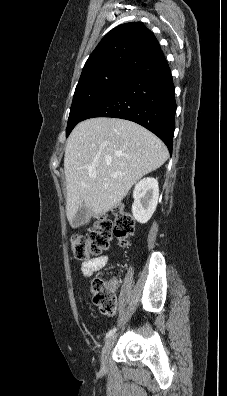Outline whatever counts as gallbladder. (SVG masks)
<instances>
[{
  "mask_svg": "<svg viewBox=\"0 0 227 396\" xmlns=\"http://www.w3.org/2000/svg\"><path fill=\"white\" fill-rule=\"evenodd\" d=\"M88 212H89V209L85 205H82L76 212L73 219L71 220V222H70L71 227L77 228L80 225H82L87 217Z\"/></svg>",
  "mask_w": 227,
  "mask_h": 396,
  "instance_id": "obj_1",
  "label": "gallbladder"
}]
</instances>
